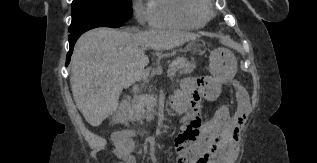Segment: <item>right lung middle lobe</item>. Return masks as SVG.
Listing matches in <instances>:
<instances>
[{
    "mask_svg": "<svg viewBox=\"0 0 317 163\" xmlns=\"http://www.w3.org/2000/svg\"><path fill=\"white\" fill-rule=\"evenodd\" d=\"M131 6V0H73L69 38L100 25L126 22Z\"/></svg>",
    "mask_w": 317,
    "mask_h": 163,
    "instance_id": "obj_1",
    "label": "right lung middle lobe"
}]
</instances>
